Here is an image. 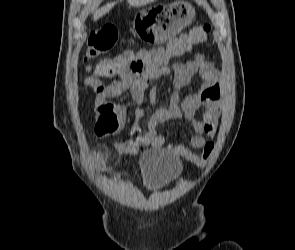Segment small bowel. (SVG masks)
Returning <instances> with one entry per match:
<instances>
[{
	"label": "small bowel",
	"instance_id": "small-bowel-1",
	"mask_svg": "<svg viewBox=\"0 0 295 250\" xmlns=\"http://www.w3.org/2000/svg\"><path fill=\"white\" fill-rule=\"evenodd\" d=\"M189 51V50H188ZM187 51H179L169 44L167 48L154 50H126L116 59L118 70L112 75L115 79L104 83L98 77H88L84 81L86 90L94 92L95 108L104 104L107 99L118 97L129 92L132 100L142 104L145 91L152 81H158L171 72L169 61L181 56ZM174 73L173 86L168 104L165 107L153 109L145 131L139 126L143 112L139 111L132 128L131 138L116 144L115 150L120 154L135 155L145 146L162 147L166 139L158 133L159 124L184 117L191 124L194 134L190 137V145L194 149H201L215 137L221 111V93L219 73L213 64L201 54L187 62H176L172 67ZM201 78L199 89L183 99L179 97V89L191 82L195 75ZM157 87L152 86L149 93L150 105L155 107ZM202 110L199 117L198 110ZM168 149L186 159L193 156V152L181 144H172ZM101 158V156H99Z\"/></svg>",
	"mask_w": 295,
	"mask_h": 250
}]
</instances>
